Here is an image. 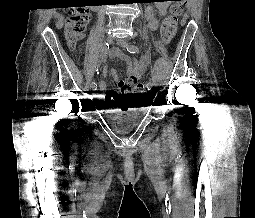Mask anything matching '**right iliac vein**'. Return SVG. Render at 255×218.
<instances>
[{"label":"right iliac vein","instance_id":"63e3f726","mask_svg":"<svg viewBox=\"0 0 255 218\" xmlns=\"http://www.w3.org/2000/svg\"><path fill=\"white\" fill-rule=\"evenodd\" d=\"M106 41H107L108 44H112L113 43V38L112 37H108ZM91 89L93 91H96L97 90V86H92L91 85Z\"/></svg>","mask_w":255,"mask_h":218}]
</instances>
